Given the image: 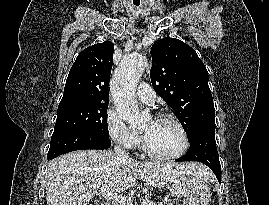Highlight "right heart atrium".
<instances>
[{
	"label": "right heart atrium",
	"instance_id": "d8ad5b80",
	"mask_svg": "<svg viewBox=\"0 0 269 205\" xmlns=\"http://www.w3.org/2000/svg\"><path fill=\"white\" fill-rule=\"evenodd\" d=\"M105 127L108 136L125 149H135L140 143L139 137L125 126L119 115L112 109L107 111Z\"/></svg>",
	"mask_w": 269,
	"mask_h": 205
}]
</instances>
